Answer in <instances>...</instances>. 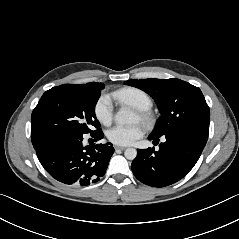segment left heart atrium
I'll return each mask as SVG.
<instances>
[{"label": "left heart atrium", "mask_w": 239, "mask_h": 239, "mask_svg": "<svg viewBox=\"0 0 239 239\" xmlns=\"http://www.w3.org/2000/svg\"><path fill=\"white\" fill-rule=\"evenodd\" d=\"M144 132L145 129L140 124L131 126L115 125L108 130L107 138L116 145L127 146L141 138Z\"/></svg>", "instance_id": "1"}]
</instances>
